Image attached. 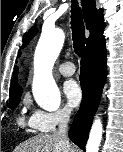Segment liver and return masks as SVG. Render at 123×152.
<instances>
[{"label":"liver","instance_id":"1","mask_svg":"<svg viewBox=\"0 0 123 152\" xmlns=\"http://www.w3.org/2000/svg\"><path fill=\"white\" fill-rule=\"evenodd\" d=\"M76 149L69 142L55 134L34 136L22 143L14 152H75Z\"/></svg>","mask_w":123,"mask_h":152}]
</instances>
